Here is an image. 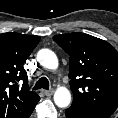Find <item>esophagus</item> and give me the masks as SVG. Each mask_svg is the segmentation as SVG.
Returning a JSON list of instances; mask_svg holds the SVG:
<instances>
[{
	"label": "esophagus",
	"mask_w": 118,
	"mask_h": 118,
	"mask_svg": "<svg viewBox=\"0 0 118 118\" xmlns=\"http://www.w3.org/2000/svg\"><path fill=\"white\" fill-rule=\"evenodd\" d=\"M43 93H44L46 96H51V95H53L54 90H53V89H51V90H43Z\"/></svg>",
	"instance_id": "34e87169"
}]
</instances>
